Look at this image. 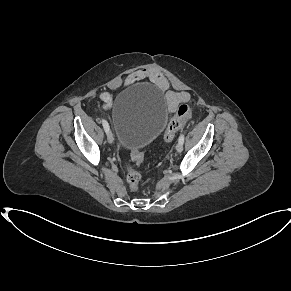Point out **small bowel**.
Here are the masks:
<instances>
[{
    "instance_id": "1",
    "label": "small bowel",
    "mask_w": 291,
    "mask_h": 291,
    "mask_svg": "<svg viewBox=\"0 0 291 291\" xmlns=\"http://www.w3.org/2000/svg\"><path fill=\"white\" fill-rule=\"evenodd\" d=\"M142 80H149L154 83L159 90L166 92L167 110L170 113L174 112L180 104L189 100V94L187 92L167 91L169 88L168 80L162 73L154 68L139 69L130 73L124 79V85H131ZM100 100L103 109L108 110L112 104L111 95L108 92H103L100 95Z\"/></svg>"
}]
</instances>
